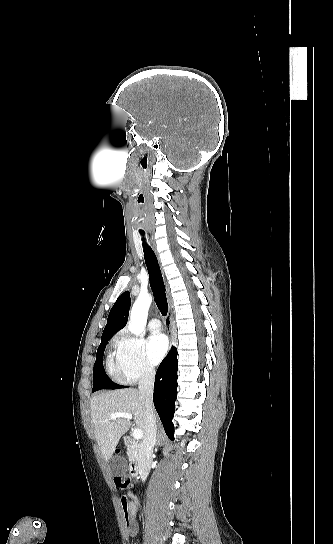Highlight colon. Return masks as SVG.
Wrapping results in <instances>:
<instances>
[{"instance_id": "obj_1", "label": "colon", "mask_w": 333, "mask_h": 544, "mask_svg": "<svg viewBox=\"0 0 333 544\" xmlns=\"http://www.w3.org/2000/svg\"><path fill=\"white\" fill-rule=\"evenodd\" d=\"M115 484L119 489L125 490L132 486V481L127 476H120L115 478Z\"/></svg>"}]
</instances>
